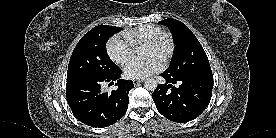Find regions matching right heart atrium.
<instances>
[{
    "mask_svg": "<svg viewBox=\"0 0 276 138\" xmlns=\"http://www.w3.org/2000/svg\"><path fill=\"white\" fill-rule=\"evenodd\" d=\"M106 50L110 59L119 66H124L133 56V46L120 35L108 40Z\"/></svg>",
    "mask_w": 276,
    "mask_h": 138,
    "instance_id": "1",
    "label": "right heart atrium"
}]
</instances>
